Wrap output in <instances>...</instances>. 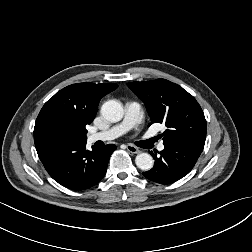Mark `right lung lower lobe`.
<instances>
[{"label":"right lung lower lobe","instance_id":"right-lung-lower-lobe-1","mask_svg":"<svg viewBox=\"0 0 252 252\" xmlns=\"http://www.w3.org/2000/svg\"><path fill=\"white\" fill-rule=\"evenodd\" d=\"M114 144L86 150V141H67L37 150L49 175L62 186L84 190L97 184L105 175Z\"/></svg>","mask_w":252,"mask_h":252}]
</instances>
